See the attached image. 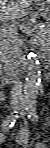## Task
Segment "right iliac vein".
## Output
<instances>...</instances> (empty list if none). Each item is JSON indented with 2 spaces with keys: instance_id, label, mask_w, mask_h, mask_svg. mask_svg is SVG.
Masks as SVG:
<instances>
[{
  "instance_id": "1",
  "label": "right iliac vein",
  "mask_w": 50,
  "mask_h": 148,
  "mask_svg": "<svg viewBox=\"0 0 50 148\" xmlns=\"http://www.w3.org/2000/svg\"><path fill=\"white\" fill-rule=\"evenodd\" d=\"M15 109H16L15 107H12V110H13V111H15Z\"/></svg>"
}]
</instances>
